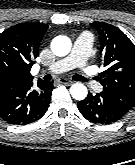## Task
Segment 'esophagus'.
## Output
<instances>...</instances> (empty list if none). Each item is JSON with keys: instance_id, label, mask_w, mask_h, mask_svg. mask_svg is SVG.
<instances>
[{"instance_id": "esophagus-1", "label": "esophagus", "mask_w": 135, "mask_h": 165, "mask_svg": "<svg viewBox=\"0 0 135 165\" xmlns=\"http://www.w3.org/2000/svg\"><path fill=\"white\" fill-rule=\"evenodd\" d=\"M58 81H59V83H61L63 85H71L73 83L72 80L67 79V78H59Z\"/></svg>"}]
</instances>
